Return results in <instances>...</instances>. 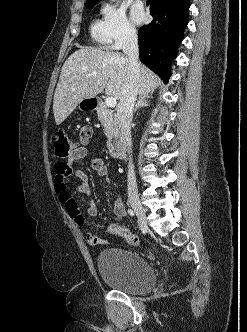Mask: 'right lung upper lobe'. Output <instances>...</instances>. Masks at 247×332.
I'll list each match as a JSON object with an SVG mask.
<instances>
[{
	"label": "right lung upper lobe",
	"mask_w": 247,
	"mask_h": 332,
	"mask_svg": "<svg viewBox=\"0 0 247 332\" xmlns=\"http://www.w3.org/2000/svg\"><path fill=\"white\" fill-rule=\"evenodd\" d=\"M100 0H86V5H90V4H96L97 2H99Z\"/></svg>",
	"instance_id": "1"
}]
</instances>
